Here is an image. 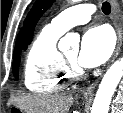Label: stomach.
<instances>
[{
  "label": "stomach",
  "instance_id": "0dacf381",
  "mask_svg": "<svg viewBox=\"0 0 123 113\" xmlns=\"http://www.w3.org/2000/svg\"><path fill=\"white\" fill-rule=\"evenodd\" d=\"M12 112H21V109H19L17 106H13Z\"/></svg>",
  "mask_w": 123,
  "mask_h": 113
}]
</instances>
